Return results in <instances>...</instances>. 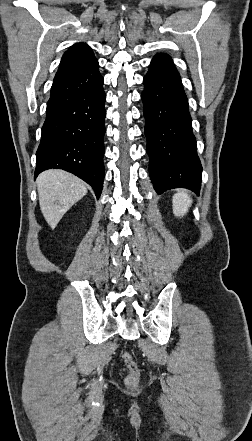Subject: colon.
Masks as SVG:
<instances>
[{
    "label": "colon",
    "instance_id": "colon-1",
    "mask_svg": "<svg viewBox=\"0 0 252 441\" xmlns=\"http://www.w3.org/2000/svg\"><path fill=\"white\" fill-rule=\"evenodd\" d=\"M124 363L129 371L128 375V383L134 384L138 378L139 368L136 361L133 359V356L129 352H125L123 354Z\"/></svg>",
    "mask_w": 252,
    "mask_h": 441
}]
</instances>
